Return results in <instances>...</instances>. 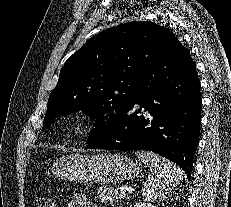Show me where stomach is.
Segmentation results:
<instances>
[{
	"label": "stomach",
	"mask_w": 231,
	"mask_h": 207,
	"mask_svg": "<svg viewBox=\"0 0 231 207\" xmlns=\"http://www.w3.org/2000/svg\"><path fill=\"white\" fill-rule=\"evenodd\" d=\"M55 177L74 182L115 184L139 176L140 165L121 154H70L53 163Z\"/></svg>",
	"instance_id": "1"
}]
</instances>
